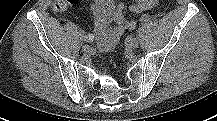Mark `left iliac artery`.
I'll list each match as a JSON object with an SVG mask.
<instances>
[{"mask_svg": "<svg viewBox=\"0 0 217 121\" xmlns=\"http://www.w3.org/2000/svg\"><path fill=\"white\" fill-rule=\"evenodd\" d=\"M140 21L142 23L146 24V23H150L152 21V18L149 15L144 14V15L141 16Z\"/></svg>", "mask_w": 217, "mask_h": 121, "instance_id": "1", "label": "left iliac artery"}]
</instances>
